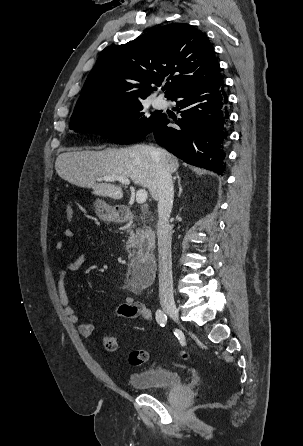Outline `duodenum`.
Wrapping results in <instances>:
<instances>
[{
    "mask_svg": "<svg viewBox=\"0 0 303 446\" xmlns=\"http://www.w3.org/2000/svg\"><path fill=\"white\" fill-rule=\"evenodd\" d=\"M137 215L134 214L128 208H122L117 212V218L126 222L136 218ZM140 218H146V215H140ZM156 272V261L151 255H140L133 258L129 268V279L133 287L137 289H142L148 286Z\"/></svg>",
    "mask_w": 303,
    "mask_h": 446,
    "instance_id": "1",
    "label": "duodenum"
}]
</instances>
